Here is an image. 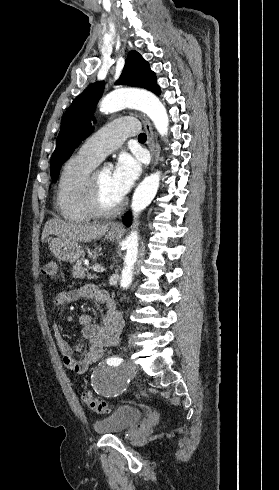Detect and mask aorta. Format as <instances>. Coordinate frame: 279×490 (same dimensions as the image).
I'll return each instance as SVG.
<instances>
[{
	"label": "aorta",
	"instance_id": "aorta-1",
	"mask_svg": "<svg viewBox=\"0 0 279 490\" xmlns=\"http://www.w3.org/2000/svg\"><path fill=\"white\" fill-rule=\"evenodd\" d=\"M126 107L144 112L153 122L161 136L168 134L169 119L165 106L152 93L135 90H118L105 96L100 104V110L113 113ZM160 173L156 172L144 178L136 188L132 198V213L138 215L154 199L159 188ZM134 228V227H133ZM138 232L133 229L125 241L126 254L121 273L120 286L127 288L132 283L133 269L138 256Z\"/></svg>",
	"mask_w": 279,
	"mask_h": 490
}]
</instances>
